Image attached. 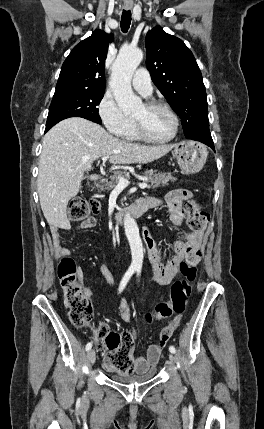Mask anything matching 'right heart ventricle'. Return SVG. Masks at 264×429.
Segmentation results:
<instances>
[{
	"label": "right heart ventricle",
	"instance_id": "1",
	"mask_svg": "<svg viewBox=\"0 0 264 429\" xmlns=\"http://www.w3.org/2000/svg\"><path fill=\"white\" fill-rule=\"evenodd\" d=\"M122 137L125 138V139H127V140H131V141L139 139V137L137 135V132H136V128H135L134 122L132 123L131 127L129 128V130Z\"/></svg>",
	"mask_w": 264,
	"mask_h": 429
}]
</instances>
